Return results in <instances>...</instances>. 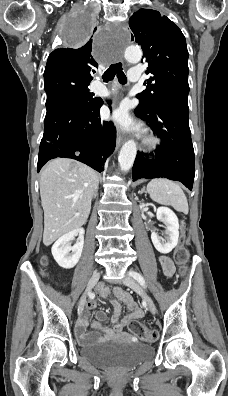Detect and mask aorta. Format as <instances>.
Instances as JSON below:
<instances>
[{
  "instance_id": "762f6f07",
  "label": "aorta",
  "mask_w": 228,
  "mask_h": 396,
  "mask_svg": "<svg viewBox=\"0 0 228 396\" xmlns=\"http://www.w3.org/2000/svg\"><path fill=\"white\" fill-rule=\"evenodd\" d=\"M124 56L127 61L131 63H136L141 60L142 51L138 47L129 46L125 49ZM136 154H137V146L134 140H128L127 142H125L120 150L118 157V162L121 171L128 172L131 169Z\"/></svg>"
}]
</instances>
